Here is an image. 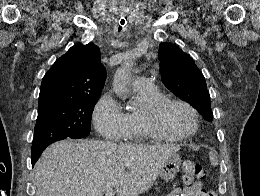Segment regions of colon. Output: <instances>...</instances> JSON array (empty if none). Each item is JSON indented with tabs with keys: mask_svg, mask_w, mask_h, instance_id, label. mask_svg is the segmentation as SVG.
<instances>
[{
	"mask_svg": "<svg viewBox=\"0 0 260 196\" xmlns=\"http://www.w3.org/2000/svg\"><path fill=\"white\" fill-rule=\"evenodd\" d=\"M207 178L206 170L197 163L185 161L181 164V181L187 185L204 181Z\"/></svg>",
	"mask_w": 260,
	"mask_h": 196,
	"instance_id": "5ec220e1",
	"label": "colon"
}]
</instances>
